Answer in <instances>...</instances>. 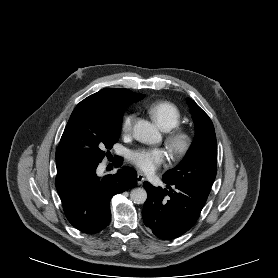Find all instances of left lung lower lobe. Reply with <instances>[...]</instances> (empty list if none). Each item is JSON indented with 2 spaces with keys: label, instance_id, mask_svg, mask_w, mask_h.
<instances>
[{
  "label": "left lung lower lobe",
  "instance_id": "1",
  "mask_svg": "<svg viewBox=\"0 0 278 278\" xmlns=\"http://www.w3.org/2000/svg\"><path fill=\"white\" fill-rule=\"evenodd\" d=\"M167 189L145 182L148 198L142 216L144 224L160 239H174L196 222L210 191L163 179Z\"/></svg>",
  "mask_w": 278,
  "mask_h": 278
}]
</instances>
